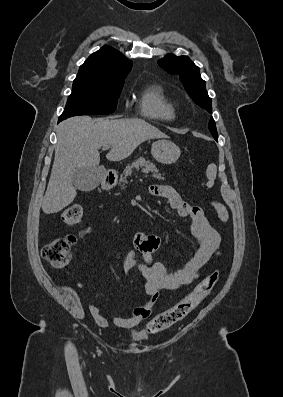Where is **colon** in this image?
Listing matches in <instances>:
<instances>
[{
    "label": "colon",
    "mask_w": 283,
    "mask_h": 397,
    "mask_svg": "<svg viewBox=\"0 0 283 397\" xmlns=\"http://www.w3.org/2000/svg\"><path fill=\"white\" fill-rule=\"evenodd\" d=\"M218 218L222 222H227L229 213L224 204L219 201H211ZM83 216V209L80 205H71L61 214L63 223L68 226H76L80 223ZM76 239L72 235L56 238L47 243L41 251L43 259L55 268H63L68 265L72 255V247ZM221 273L214 270L208 274L204 280L185 298L173 307L159 313L151 319L147 325V331L156 334L163 331L185 318L195 307V305L208 294L215 284L219 281Z\"/></svg>",
    "instance_id": "colon-1"
}]
</instances>
